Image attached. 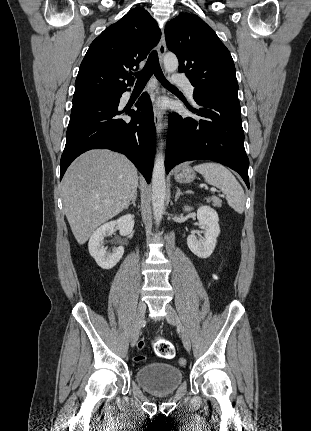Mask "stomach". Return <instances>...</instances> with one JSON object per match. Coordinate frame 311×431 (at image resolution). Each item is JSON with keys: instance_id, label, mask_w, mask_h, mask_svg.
Listing matches in <instances>:
<instances>
[{"instance_id": "1", "label": "stomach", "mask_w": 311, "mask_h": 431, "mask_svg": "<svg viewBox=\"0 0 311 431\" xmlns=\"http://www.w3.org/2000/svg\"><path fill=\"white\" fill-rule=\"evenodd\" d=\"M174 178L179 184H190V182L195 180L196 176L194 170H192L190 166H179L174 174Z\"/></svg>"}]
</instances>
